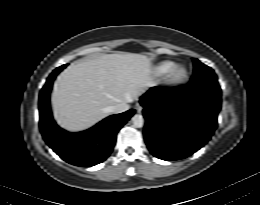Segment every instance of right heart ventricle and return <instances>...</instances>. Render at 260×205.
<instances>
[{
	"instance_id": "right-heart-ventricle-1",
	"label": "right heart ventricle",
	"mask_w": 260,
	"mask_h": 205,
	"mask_svg": "<svg viewBox=\"0 0 260 205\" xmlns=\"http://www.w3.org/2000/svg\"><path fill=\"white\" fill-rule=\"evenodd\" d=\"M175 66L174 62L163 61L154 67V73L158 77L166 76Z\"/></svg>"
}]
</instances>
